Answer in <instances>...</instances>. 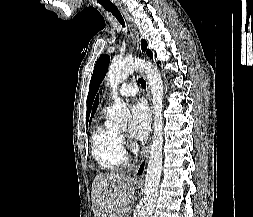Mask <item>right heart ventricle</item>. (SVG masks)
I'll return each instance as SVG.
<instances>
[{
    "mask_svg": "<svg viewBox=\"0 0 253 217\" xmlns=\"http://www.w3.org/2000/svg\"><path fill=\"white\" fill-rule=\"evenodd\" d=\"M91 153L99 166L108 172H115L128 164L121 135L101 122L91 134Z\"/></svg>",
    "mask_w": 253,
    "mask_h": 217,
    "instance_id": "right-heart-ventricle-1",
    "label": "right heart ventricle"
}]
</instances>
